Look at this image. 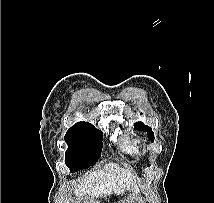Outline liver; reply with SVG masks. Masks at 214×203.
I'll use <instances>...</instances> for the list:
<instances>
[{
	"mask_svg": "<svg viewBox=\"0 0 214 203\" xmlns=\"http://www.w3.org/2000/svg\"><path fill=\"white\" fill-rule=\"evenodd\" d=\"M126 190L132 191L136 196L140 188L136 177L127 168H121L115 163L106 164L102 170H94L77 184L74 194L80 198L87 196L107 197L111 194H123Z\"/></svg>",
	"mask_w": 214,
	"mask_h": 203,
	"instance_id": "obj_1",
	"label": "liver"
}]
</instances>
